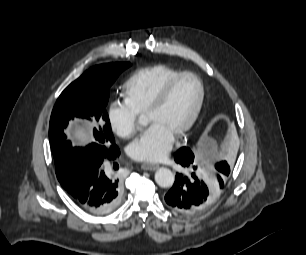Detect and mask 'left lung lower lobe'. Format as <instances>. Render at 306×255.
Returning a JSON list of instances; mask_svg holds the SVG:
<instances>
[{
    "mask_svg": "<svg viewBox=\"0 0 306 255\" xmlns=\"http://www.w3.org/2000/svg\"><path fill=\"white\" fill-rule=\"evenodd\" d=\"M175 161L184 170L193 171L191 176L177 173L173 187L165 195V201L169 207L182 214H192L206 207L219 189L224 186L223 180L229 175L230 167L226 162L215 165L217 181L204 180L196 174L199 168L194 160V154L188 147L179 149Z\"/></svg>",
    "mask_w": 306,
    "mask_h": 255,
    "instance_id": "obj_1",
    "label": "left lung lower lobe"
}]
</instances>
